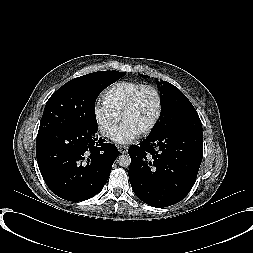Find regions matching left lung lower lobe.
I'll list each match as a JSON object with an SVG mask.
<instances>
[{"label":"left lung lower lobe","instance_id":"0a47b994","mask_svg":"<svg viewBox=\"0 0 253 253\" xmlns=\"http://www.w3.org/2000/svg\"><path fill=\"white\" fill-rule=\"evenodd\" d=\"M135 195L162 208L181 201L193 187L203 156L202 131L179 129L149 136L128 150Z\"/></svg>","mask_w":253,"mask_h":253}]
</instances>
